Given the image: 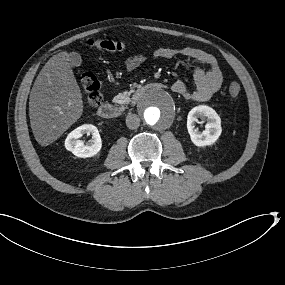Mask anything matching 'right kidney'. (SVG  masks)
<instances>
[{"mask_svg":"<svg viewBox=\"0 0 285 285\" xmlns=\"http://www.w3.org/2000/svg\"><path fill=\"white\" fill-rule=\"evenodd\" d=\"M84 134H91L92 140L88 144H84L79 140ZM102 147V141L99 131L96 126L84 124L79 126L68 134L65 140V148L71 151L74 155L81 158L92 157L96 155Z\"/></svg>","mask_w":285,"mask_h":285,"instance_id":"1","label":"right kidney"}]
</instances>
